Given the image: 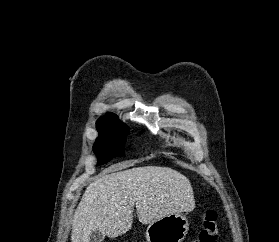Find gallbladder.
<instances>
[{"label":"gallbladder","instance_id":"gallbladder-1","mask_svg":"<svg viewBox=\"0 0 279 242\" xmlns=\"http://www.w3.org/2000/svg\"><path fill=\"white\" fill-rule=\"evenodd\" d=\"M103 239V234L97 230L92 232L90 235V242H102Z\"/></svg>","mask_w":279,"mask_h":242}]
</instances>
